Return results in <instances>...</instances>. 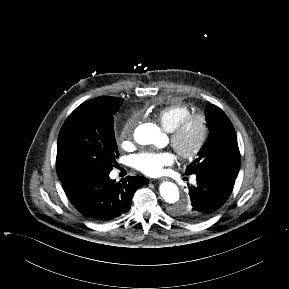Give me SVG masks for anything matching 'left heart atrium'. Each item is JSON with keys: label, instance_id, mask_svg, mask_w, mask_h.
<instances>
[{"label": "left heart atrium", "instance_id": "left-heart-atrium-1", "mask_svg": "<svg viewBox=\"0 0 289 289\" xmlns=\"http://www.w3.org/2000/svg\"><path fill=\"white\" fill-rule=\"evenodd\" d=\"M175 155L171 151H145L132 158V166L148 176H158L164 167L175 162Z\"/></svg>", "mask_w": 289, "mask_h": 289}]
</instances>
